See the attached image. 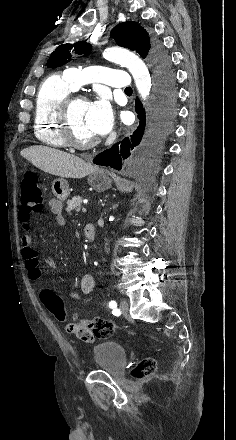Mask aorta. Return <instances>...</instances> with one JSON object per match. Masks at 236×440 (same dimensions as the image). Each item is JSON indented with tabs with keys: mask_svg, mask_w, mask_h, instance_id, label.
Returning <instances> with one entry per match:
<instances>
[{
	"mask_svg": "<svg viewBox=\"0 0 236 440\" xmlns=\"http://www.w3.org/2000/svg\"><path fill=\"white\" fill-rule=\"evenodd\" d=\"M104 58L125 66L132 74L140 97L145 100L151 90V77L145 63L134 53L121 47H110L104 51Z\"/></svg>",
	"mask_w": 236,
	"mask_h": 440,
	"instance_id": "762f6f07",
	"label": "aorta"
}]
</instances>
